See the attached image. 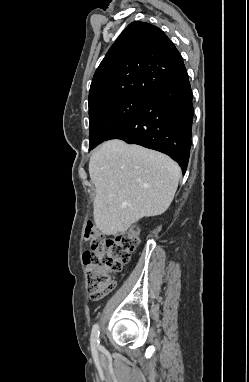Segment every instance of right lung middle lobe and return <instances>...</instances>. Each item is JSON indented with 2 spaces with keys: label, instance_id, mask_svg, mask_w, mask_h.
I'll return each instance as SVG.
<instances>
[{
  "label": "right lung middle lobe",
  "instance_id": "1",
  "mask_svg": "<svg viewBox=\"0 0 249 382\" xmlns=\"http://www.w3.org/2000/svg\"><path fill=\"white\" fill-rule=\"evenodd\" d=\"M148 98L145 95H127L89 110V150L130 122Z\"/></svg>",
  "mask_w": 249,
  "mask_h": 382
}]
</instances>
